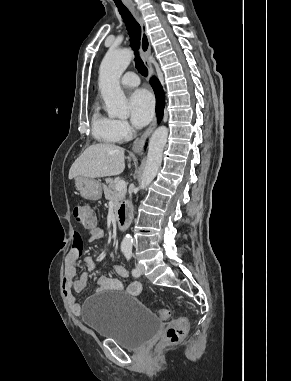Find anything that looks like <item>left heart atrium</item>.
Returning a JSON list of instances; mask_svg holds the SVG:
<instances>
[{"label": "left heart atrium", "mask_w": 291, "mask_h": 381, "mask_svg": "<svg viewBox=\"0 0 291 381\" xmlns=\"http://www.w3.org/2000/svg\"><path fill=\"white\" fill-rule=\"evenodd\" d=\"M130 115L133 124L142 127L148 124L154 113V99L146 90L133 92L129 98Z\"/></svg>", "instance_id": "39dd6f15"}]
</instances>
